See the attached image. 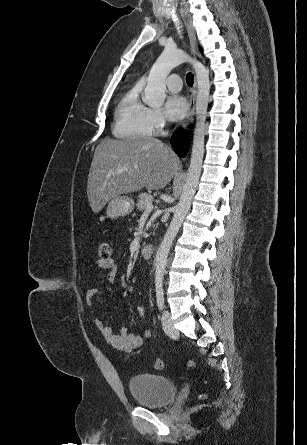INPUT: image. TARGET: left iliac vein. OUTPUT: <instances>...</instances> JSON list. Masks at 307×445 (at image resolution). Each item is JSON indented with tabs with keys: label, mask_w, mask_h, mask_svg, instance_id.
Listing matches in <instances>:
<instances>
[{
	"label": "left iliac vein",
	"mask_w": 307,
	"mask_h": 445,
	"mask_svg": "<svg viewBox=\"0 0 307 445\" xmlns=\"http://www.w3.org/2000/svg\"><path fill=\"white\" fill-rule=\"evenodd\" d=\"M162 326L165 333L169 336L178 335V330L174 327L173 321L171 319V314L169 311L164 310L162 313Z\"/></svg>",
	"instance_id": "obj_1"
}]
</instances>
